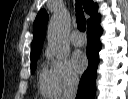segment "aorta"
I'll return each instance as SVG.
<instances>
[{
	"instance_id": "1",
	"label": "aorta",
	"mask_w": 128,
	"mask_h": 99,
	"mask_svg": "<svg viewBox=\"0 0 128 99\" xmlns=\"http://www.w3.org/2000/svg\"><path fill=\"white\" fill-rule=\"evenodd\" d=\"M67 13L58 10L52 16L48 26V44L54 54L64 59L69 54V43L66 37Z\"/></svg>"
}]
</instances>
